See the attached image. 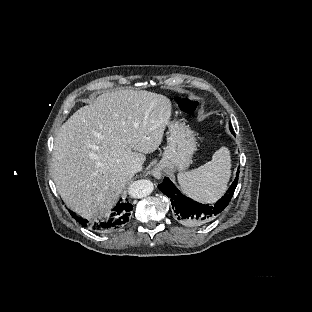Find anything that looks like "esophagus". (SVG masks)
<instances>
[{"label": "esophagus", "instance_id": "1", "mask_svg": "<svg viewBox=\"0 0 312 312\" xmlns=\"http://www.w3.org/2000/svg\"><path fill=\"white\" fill-rule=\"evenodd\" d=\"M154 176H155L156 178H160L161 173H160L159 171H156V172L154 173Z\"/></svg>", "mask_w": 312, "mask_h": 312}]
</instances>
